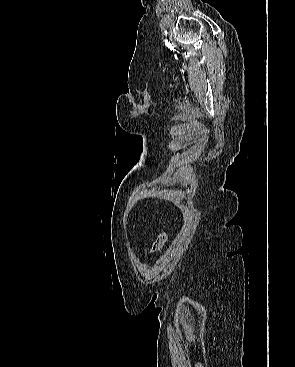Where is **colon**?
<instances>
[{"mask_svg": "<svg viewBox=\"0 0 295 367\" xmlns=\"http://www.w3.org/2000/svg\"><path fill=\"white\" fill-rule=\"evenodd\" d=\"M166 240H167V236L164 232L159 234V236L157 237V239L155 240V242L152 245V251L155 252V251L160 250L164 246Z\"/></svg>", "mask_w": 295, "mask_h": 367, "instance_id": "colon-1", "label": "colon"}]
</instances>
